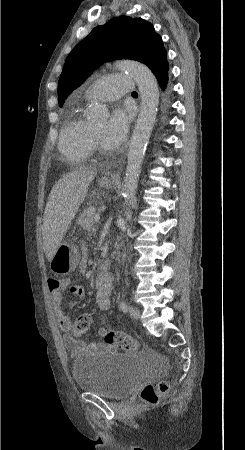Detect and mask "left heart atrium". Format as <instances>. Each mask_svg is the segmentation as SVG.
<instances>
[{
  "label": "left heart atrium",
  "instance_id": "1",
  "mask_svg": "<svg viewBox=\"0 0 245 450\" xmlns=\"http://www.w3.org/2000/svg\"><path fill=\"white\" fill-rule=\"evenodd\" d=\"M131 112L127 108H117L113 111L103 135L105 146L118 148L126 139L131 122Z\"/></svg>",
  "mask_w": 245,
  "mask_h": 450
}]
</instances>
